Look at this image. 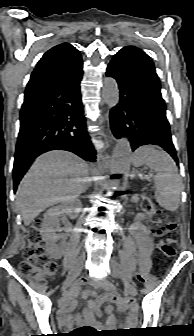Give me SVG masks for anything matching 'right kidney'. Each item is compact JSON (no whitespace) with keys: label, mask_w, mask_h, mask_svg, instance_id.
<instances>
[{"label":"right kidney","mask_w":194,"mask_h":336,"mask_svg":"<svg viewBox=\"0 0 194 336\" xmlns=\"http://www.w3.org/2000/svg\"><path fill=\"white\" fill-rule=\"evenodd\" d=\"M81 205L77 198H68L61 202L60 205L54 206L46 211L44 214L43 223L41 225L40 233L46 242L48 253L54 258H59L62 255L63 244H57L59 236L56 232L59 230V217L62 213L71 214L77 207Z\"/></svg>","instance_id":"right-kidney-1"}]
</instances>
